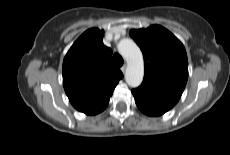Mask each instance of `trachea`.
Wrapping results in <instances>:
<instances>
[{
  "label": "trachea",
  "mask_w": 230,
  "mask_h": 155,
  "mask_svg": "<svg viewBox=\"0 0 230 155\" xmlns=\"http://www.w3.org/2000/svg\"><path fill=\"white\" fill-rule=\"evenodd\" d=\"M113 62L117 67H121L124 63L123 58L119 54H114Z\"/></svg>",
  "instance_id": "obj_1"
}]
</instances>
